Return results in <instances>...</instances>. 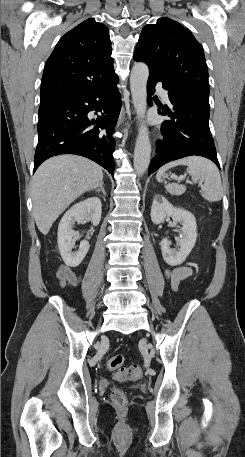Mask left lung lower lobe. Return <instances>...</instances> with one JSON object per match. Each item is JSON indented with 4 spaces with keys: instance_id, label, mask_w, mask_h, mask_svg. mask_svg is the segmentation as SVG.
<instances>
[{
    "instance_id": "left-lung-lower-lobe-1",
    "label": "left lung lower lobe",
    "mask_w": 245,
    "mask_h": 457,
    "mask_svg": "<svg viewBox=\"0 0 245 457\" xmlns=\"http://www.w3.org/2000/svg\"><path fill=\"white\" fill-rule=\"evenodd\" d=\"M135 61H139L134 59ZM150 74L147 82L148 104L151 106V95L155 92L157 82L163 83V88L168 90L170 107L158 104V113L170 119L161 125L163 141L157 142V156L152 159L148 176L162 165L183 157L197 155L212 160L219 168L216 149L209 129V109L190 105L173 97V87L149 68Z\"/></svg>"
}]
</instances>
